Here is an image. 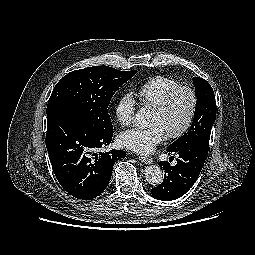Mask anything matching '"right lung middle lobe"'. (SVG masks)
Returning a JSON list of instances; mask_svg holds the SVG:
<instances>
[{
    "label": "right lung middle lobe",
    "mask_w": 255,
    "mask_h": 255,
    "mask_svg": "<svg viewBox=\"0 0 255 255\" xmlns=\"http://www.w3.org/2000/svg\"><path fill=\"white\" fill-rule=\"evenodd\" d=\"M136 70L119 71L108 66H93L72 71L54 87L47 105V115L66 108L81 116L99 132H113L108 114L112 96Z\"/></svg>",
    "instance_id": "obj_1"
}]
</instances>
